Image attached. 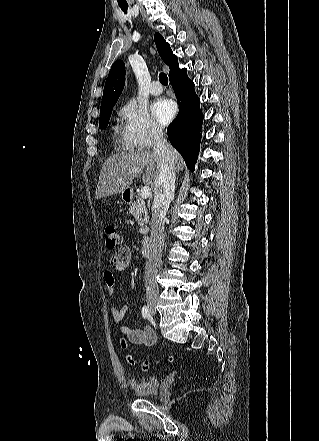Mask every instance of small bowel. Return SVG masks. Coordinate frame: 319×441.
I'll list each match as a JSON object with an SVG mask.
<instances>
[{"label":"small bowel","instance_id":"obj_1","mask_svg":"<svg viewBox=\"0 0 319 441\" xmlns=\"http://www.w3.org/2000/svg\"><path fill=\"white\" fill-rule=\"evenodd\" d=\"M131 261V252L127 246H120L116 252L110 257V265L113 270H125ZM104 282L107 288L108 295L112 296L115 293V276L112 271H105L103 273ZM128 306L123 305L121 308L112 307L110 313L116 324L120 326L121 332L128 338V340L136 345L152 346L156 342V335L153 329L149 326L142 328H134L122 325V322L128 312Z\"/></svg>","mask_w":319,"mask_h":441}]
</instances>
